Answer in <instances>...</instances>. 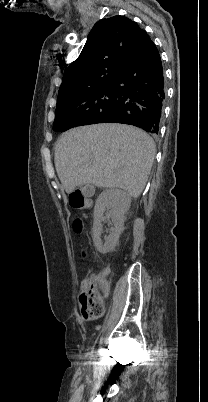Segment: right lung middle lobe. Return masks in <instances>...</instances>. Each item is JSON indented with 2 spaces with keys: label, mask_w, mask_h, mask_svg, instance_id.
I'll return each mask as SVG.
<instances>
[{
  "label": "right lung middle lobe",
  "mask_w": 208,
  "mask_h": 402,
  "mask_svg": "<svg viewBox=\"0 0 208 402\" xmlns=\"http://www.w3.org/2000/svg\"><path fill=\"white\" fill-rule=\"evenodd\" d=\"M113 80L99 81L62 95H58L53 129L61 121H83L108 112L116 105L117 88Z\"/></svg>",
  "instance_id": "right-lung-middle-lobe-1"
}]
</instances>
